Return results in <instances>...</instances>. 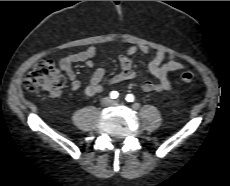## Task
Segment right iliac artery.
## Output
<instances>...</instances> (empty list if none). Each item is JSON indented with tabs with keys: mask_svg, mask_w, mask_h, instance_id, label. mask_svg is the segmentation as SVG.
Here are the masks:
<instances>
[{
	"mask_svg": "<svg viewBox=\"0 0 230 186\" xmlns=\"http://www.w3.org/2000/svg\"><path fill=\"white\" fill-rule=\"evenodd\" d=\"M118 96H119V93L117 91L110 92V98L111 99H116V98H118Z\"/></svg>",
	"mask_w": 230,
	"mask_h": 186,
	"instance_id": "obj_1",
	"label": "right iliac artery"
}]
</instances>
